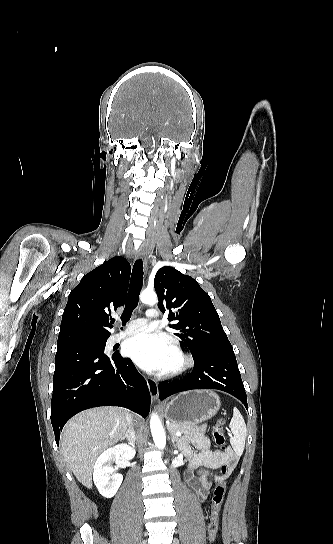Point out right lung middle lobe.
Instances as JSON below:
<instances>
[{
	"label": "right lung middle lobe",
	"instance_id": "1",
	"mask_svg": "<svg viewBox=\"0 0 333 544\" xmlns=\"http://www.w3.org/2000/svg\"><path fill=\"white\" fill-rule=\"evenodd\" d=\"M95 342L98 343V344H100L101 347H103L102 349H103V351H104L105 345H106V340H98V341H95Z\"/></svg>",
	"mask_w": 333,
	"mask_h": 544
}]
</instances>
